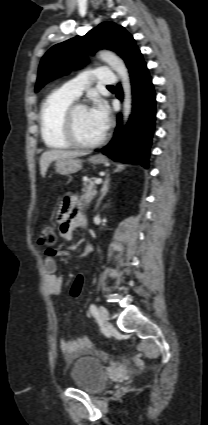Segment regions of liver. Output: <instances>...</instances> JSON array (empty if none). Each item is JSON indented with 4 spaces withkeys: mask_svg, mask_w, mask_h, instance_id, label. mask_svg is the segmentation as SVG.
I'll return each mask as SVG.
<instances>
[{
    "mask_svg": "<svg viewBox=\"0 0 208 425\" xmlns=\"http://www.w3.org/2000/svg\"><path fill=\"white\" fill-rule=\"evenodd\" d=\"M85 151H66V150H50L41 155L40 158V173L45 177L47 169L51 162L64 158H76L87 155Z\"/></svg>",
    "mask_w": 208,
    "mask_h": 425,
    "instance_id": "obj_1",
    "label": "liver"
}]
</instances>
